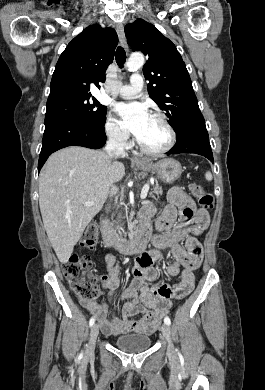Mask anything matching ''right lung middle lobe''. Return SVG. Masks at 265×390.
<instances>
[{
    "label": "right lung middle lobe",
    "mask_w": 265,
    "mask_h": 390,
    "mask_svg": "<svg viewBox=\"0 0 265 390\" xmlns=\"http://www.w3.org/2000/svg\"><path fill=\"white\" fill-rule=\"evenodd\" d=\"M106 113L107 107L91 97V94H70L48 99L45 116L68 115L93 125H103Z\"/></svg>",
    "instance_id": "dd1d6c3e"
}]
</instances>
